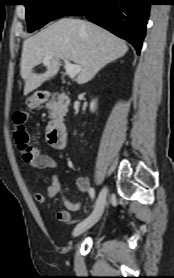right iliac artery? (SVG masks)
I'll use <instances>...</instances> for the list:
<instances>
[{"instance_id":"right-iliac-artery-1","label":"right iliac artery","mask_w":174,"mask_h":278,"mask_svg":"<svg viewBox=\"0 0 174 278\" xmlns=\"http://www.w3.org/2000/svg\"><path fill=\"white\" fill-rule=\"evenodd\" d=\"M89 195H90V197H91L92 199L95 198V190H94V188H90V190H89Z\"/></svg>"}]
</instances>
